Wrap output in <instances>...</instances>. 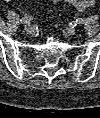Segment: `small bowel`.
<instances>
[{
    "label": "small bowel",
    "instance_id": "1",
    "mask_svg": "<svg viewBox=\"0 0 100 118\" xmlns=\"http://www.w3.org/2000/svg\"><path fill=\"white\" fill-rule=\"evenodd\" d=\"M4 2H11L12 0H3ZM52 3H59L61 1L66 2L73 7H75L78 11H84L89 8L94 7L95 0H49Z\"/></svg>",
    "mask_w": 100,
    "mask_h": 118
}]
</instances>
